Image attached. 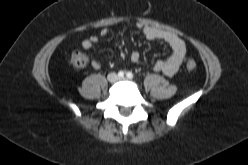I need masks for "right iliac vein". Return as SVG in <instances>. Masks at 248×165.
<instances>
[{
    "mask_svg": "<svg viewBox=\"0 0 248 165\" xmlns=\"http://www.w3.org/2000/svg\"><path fill=\"white\" fill-rule=\"evenodd\" d=\"M108 80H109L110 82H115V81L117 80V75L114 74V73L109 74V75H108Z\"/></svg>",
    "mask_w": 248,
    "mask_h": 165,
    "instance_id": "right-iliac-vein-1",
    "label": "right iliac vein"
}]
</instances>
